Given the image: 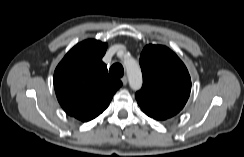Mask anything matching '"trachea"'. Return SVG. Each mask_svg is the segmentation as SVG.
<instances>
[{"label":"trachea","instance_id":"trachea-1","mask_svg":"<svg viewBox=\"0 0 244 157\" xmlns=\"http://www.w3.org/2000/svg\"><path fill=\"white\" fill-rule=\"evenodd\" d=\"M109 73H110V75H112L114 77L120 78L124 74L123 66L119 63H115L111 66Z\"/></svg>","mask_w":244,"mask_h":157}]
</instances>
